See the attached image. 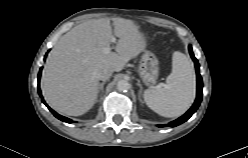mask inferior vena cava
I'll return each mask as SVG.
<instances>
[{"label": "inferior vena cava", "mask_w": 248, "mask_h": 158, "mask_svg": "<svg viewBox=\"0 0 248 158\" xmlns=\"http://www.w3.org/2000/svg\"><path fill=\"white\" fill-rule=\"evenodd\" d=\"M112 73L113 70L111 68H105L99 73V79L105 81L111 77Z\"/></svg>", "instance_id": "1"}]
</instances>
